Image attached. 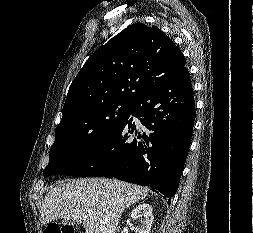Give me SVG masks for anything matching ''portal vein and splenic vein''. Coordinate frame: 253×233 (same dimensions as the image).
Returning <instances> with one entry per match:
<instances>
[{
    "instance_id": "portal-vein-and-splenic-vein-1",
    "label": "portal vein and splenic vein",
    "mask_w": 253,
    "mask_h": 233,
    "mask_svg": "<svg viewBox=\"0 0 253 233\" xmlns=\"http://www.w3.org/2000/svg\"><path fill=\"white\" fill-rule=\"evenodd\" d=\"M89 213L91 214V213H92V211L90 210V211H89Z\"/></svg>"
}]
</instances>
